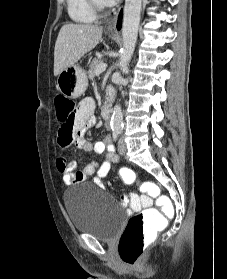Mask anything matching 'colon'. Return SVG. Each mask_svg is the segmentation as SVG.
<instances>
[{
  "label": "colon",
  "mask_w": 227,
  "mask_h": 279,
  "mask_svg": "<svg viewBox=\"0 0 227 279\" xmlns=\"http://www.w3.org/2000/svg\"><path fill=\"white\" fill-rule=\"evenodd\" d=\"M55 108L57 120L61 124L60 138H70L78 130L75 103L72 99L59 95L55 98ZM120 175L124 182L136 183L139 187L148 190V196L155 197L157 203L166 201V195L161 193L157 184L143 180L133 170L124 169ZM148 196L142 195L141 198ZM170 218V214H166L158 208L143 209L131 217L119 243L121 259L128 264L136 263L142 254L144 240L154 236L157 231L163 228L164 222Z\"/></svg>",
  "instance_id": "colon-1"
}]
</instances>
